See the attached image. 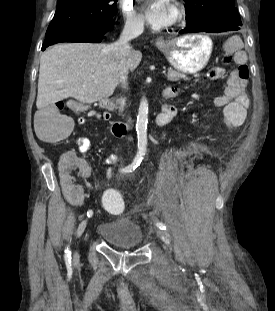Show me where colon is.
Returning <instances> with one entry per match:
<instances>
[{"instance_id": "1", "label": "colon", "mask_w": 275, "mask_h": 311, "mask_svg": "<svg viewBox=\"0 0 275 311\" xmlns=\"http://www.w3.org/2000/svg\"><path fill=\"white\" fill-rule=\"evenodd\" d=\"M238 74L241 78L247 79L249 71L246 65L238 67ZM77 102H71L68 107L75 109ZM63 107L61 103L56 106H50L38 113L36 117V134L37 136L48 142H56L65 139L72 130V120L70 117L61 114L59 110ZM226 130H234L235 118H225ZM120 190H102L104 207L111 213L120 212L123 208Z\"/></svg>"}]
</instances>
